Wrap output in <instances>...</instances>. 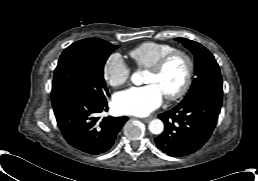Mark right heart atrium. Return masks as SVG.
<instances>
[{
    "mask_svg": "<svg viewBox=\"0 0 258 181\" xmlns=\"http://www.w3.org/2000/svg\"><path fill=\"white\" fill-rule=\"evenodd\" d=\"M131 70L119 54H112L103 67V76L112 87L125 84L130 78Z\"/></svg>",
    "mask_w": 258,
    "mask_h": 181,
    "instance_id": "1",
    "label": "right heart atrium"
}]
</instances>
